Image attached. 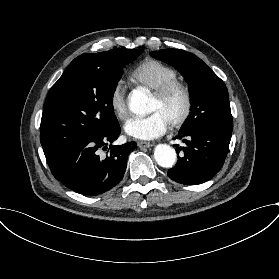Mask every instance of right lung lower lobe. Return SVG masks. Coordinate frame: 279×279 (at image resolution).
<instances>
[{
  "mask_svg": "<svg viewBox=\"0 0 279 279\" xmlns=\"http://www.w3.org/2000/svg\"><path fill=\"white\" fill-rule=\"evenodd\" d=\"M120 134L116 124L107 132L90 139L65 143L45 155L53 176L67 188L86 196H96L113 188L124 176L129 153L136 148L132 141L112 146L104 160L97 155Z\"/></svg>",
  "mask_w": 279,
  "mask_h": 279,
  "instance_id": "98d812e1",
  "label": "right lung lower lobe"
}]
</instances>
